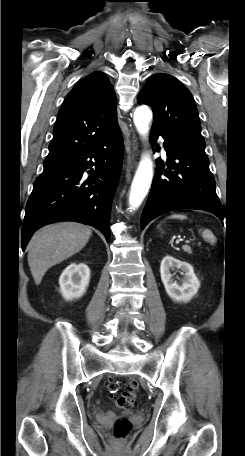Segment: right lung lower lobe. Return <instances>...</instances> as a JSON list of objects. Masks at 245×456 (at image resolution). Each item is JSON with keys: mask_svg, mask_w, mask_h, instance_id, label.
<instances>
[{"mask_svg": "<svg viewBox=\"0 0 245 456\" xmlns=\"http://www.w3.org/2000/svg\"><path fill=\"white\" fill-rule=\"evenodd\" d=\"M123 150V138L118 131L81 155L58 166L44 168L35 180L26 205L22 249H25L34 231L57 221L91 225L100 230L109 242L111 203L121 170ZM86 169H91L87 180L83 177Z\"/></svg>", "mask_w": 245, "mask_h": 456, "instance_id": "98d812e1", "label": "right lung lower lobe"}]
</instances>
